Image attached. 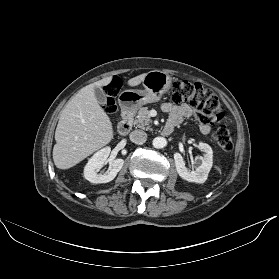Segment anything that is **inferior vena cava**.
<instances>
[{"instance_id":"inferior-vena-cava-1","label":"inferior vena cava","mask_w":279,"mask_h":279,"mask_svg":"<svg viewBox=\"0 0 279 279\" xmlns=\"http://www.w3.org/2000/svg\"><path fill=\"white\" fill-rule=\"evenodd\" d=\"M130 140L135 144L142 145L147 140V134L141 130H134L130 133Z\"/></svg>"}]
</instances>
